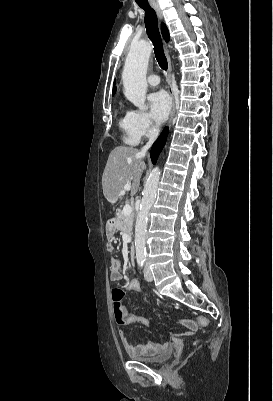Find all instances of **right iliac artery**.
<instances>
[{
  "label": "right iliac artery",
  "instance_id": "1",
  "mask_svg": "<svg viewBox=\"0 0 273 401\" xmlns=\"http://www.w3.org/2000/svg\"><path fill=\"white\" fill-rule=\"evenodd\" d=\"M137 262H138V265L141 267V266H143L144 259L143 258H137Z\"/></svg>",
  "mask_w": 273,
  "mask_h": 401
}]
</instances>
